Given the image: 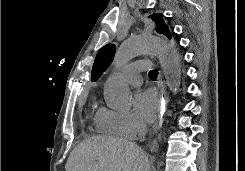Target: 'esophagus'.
Instances as JSON below:
<instances>
[{
    "label": "esophagus",
    "mask_w": 245,
    "mask_h": 171,
    "mask_svg": "<svg viewBox=\"0 0 245 171\" xmlns=\"http://www.w3.org/2000/svg\"><path fill=\"white\" fill-rule=\"evenodd\" d=\"M157 85L159 87L160 90V109L157 115V119L152 127V131H151V136L158 133V131L160 130V128L162 127V123L164 121V118L166 116L167 113V109H168V104H169V97L165 88V84L162 80L161 75H159L158 81H157ZM158 145L156 142L152 143L151 145V150H157Z\"/></svg>",
    "instance_id": "esophagus-1"
}]
</instances>
